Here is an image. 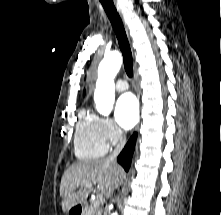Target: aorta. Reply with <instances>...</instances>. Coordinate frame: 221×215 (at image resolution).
Listing matches in <instances>:
<instances>
[{"label": "aorta", "mask_w": 221, "mask_h": 215, "mask_svg": "<svg viewBox=\"0 0 221 215\" xmlns=\"http://www.w3.org/2000/svg\"><path fill=\"white\" fill-rule=\"evenodd\" d=\"M122 56L118 51L105 54L98 66V78L94 92L96 109L103 115H108L112 110L115 100L114 78L120 70ZM111 215H118L113 212Z\"/></svg>", "instance_id": "1"}]
</instances>
